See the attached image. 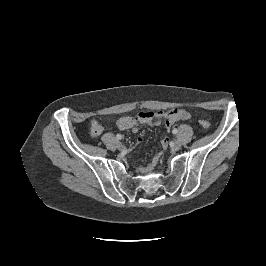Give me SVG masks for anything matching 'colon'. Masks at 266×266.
I'll return each mask as SVG.
<instances>
[{"label":"colon","mask_w":266,"mask_h":266,"mask_svg":"<svg viewBox=\"0 0 266 266\" xmlns=\"http://www.w3.org/2000/svg\"><path fill=\"white\" fill-rule=\"evenodd\" d=\"M199 125L204 129H207L210 127V123L206 120H199Z\"/></svg>","instance_id":"obj_1"}]
</instances>
